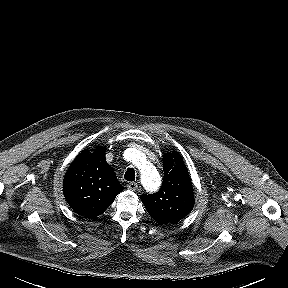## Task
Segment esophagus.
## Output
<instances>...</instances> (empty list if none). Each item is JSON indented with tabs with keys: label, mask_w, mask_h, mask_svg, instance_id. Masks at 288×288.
Masks as SVG:
<instances>
[{
	"label": "esophagus",
	"mask_w": 288,
	"mask_h": 288,
	"mask_svg": "<svg viewBox=\"0 0 288 288\" xmlns=\"http://www.w3.org/2000/svg\"><path fill=\"white\" fill-rule=\"evenodd\" d=\"M127 188L131 191H136L138 189V184L135 182H131L127 185Z\"/></svg>",
	"instance_id": "esophagus-1"
}]
</instances>
